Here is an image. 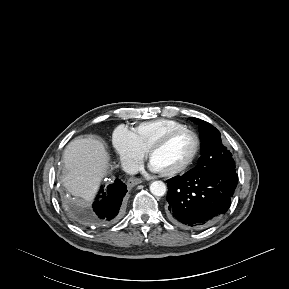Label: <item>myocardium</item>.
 <instances>
[{
    "label": "myocardium",
    "instance_id": "myocardium-1",
    "mask_svg": "<svg viewBox=\"0 0 289 289\" xmlns=\"http://www.w3.org/2000/svg\"><path fill=\"white\" fill-rule=\"evenodd\" d=\"M183 133H189L193 136L194 141H195L193 152H192L191 156L188 158V160L186 162H184L181 166H179L173 170L167 171V172H159V174L163 177H174L176 175H179V174L185 172L194 163L195 159L197 158V156L199 154L200 147H201V140H200L198 133L196 131L190 129V128H187V127L175 129L173 131L168 132L163 137H161L159 140H157L147 151V160H148V162H150L152 156L157 151H159L160 149L165 147L174 137H176L177 135L183 134Z\"/></svg>",
    "mask_w": 289,
    "mask_h": 289
}]
</instances>
